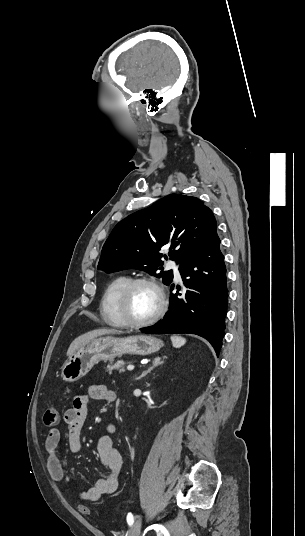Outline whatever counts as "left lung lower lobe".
<instances>
[{
    "label": "left lung lower lobe",
    "mask_w": 305,
    "mask_h": 536,
    "mask_svg": "<svg viewBox=\"0 0 305 536\" xmlns=\"http://www.w3.org/2000/svg\"><path fill=\"white\" fill-rule=\"evenodd\" d=\"M179 272L184 292L170 293V309L164 319L141 332L196 334L207 339L218 356L225 334L228 289L224 255L220 251L216 229L179 265Z\"/></svg>",
    "instance_id": "0a47b994"
}]
</instances>
